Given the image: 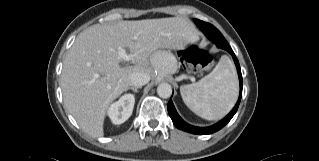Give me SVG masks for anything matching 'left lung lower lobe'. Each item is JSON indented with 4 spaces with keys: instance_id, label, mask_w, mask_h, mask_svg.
Segmentation results:
<instances>
[{
    "instance_id": "0a47b994",
    "label": "left lung lower lobe",
    "mask_w": 319,
    "mask_h": 161,
    "mask_svg": "<svg viewBox=\"0 0 319 161\" xmlns=\"http://www.w3.org/2000/svg\"><path fill=\"white\" fill-rule=\"evenodd\" d=\"M198 27L202 30V32L207 37L214 38V35L212 34V31L206 29L203 24L199 23ZM222 49L228 51L232 55V57L234 59V62H235V65H236V68H237V71H238L239 82H240V95H239V99H238L235 107L232 109V111L224 119H222L218 123H216V124H214L212 126H209V127H195V126H192V125L186 123L185 121H183L181 119V117L178 115V113H177V111H176V109H175V107L173 105L172 100L170 99L169 102H168V113H169V115H170V117H171V119L173 121V124L178 129L186 131V132H189V133H193V134H200V135L212 134V133L217 132L220 129H222L232 119V117L237 112V109L239 107L240 100H241V97H242V74H241V69H240V65H239L238 59L236 58V56H235L234 52L232 51L231 47L229 46V44L223 45Z\"/></svg>"
}]
</instances>
